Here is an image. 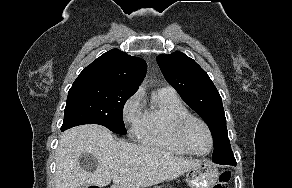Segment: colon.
Here are the masks:
<instances>
[{
  "instance_id": "obj_1",
  "label": "colon",
  "mask_w": 292,
  "mask_h": 188,
  "mask_svg": "<svg viewBox=\"0 0 292 188\" xmlns=\"http://www.w3.org/2000/svg\"><path fill=\"white\" fill-rule=\"evenodd\" d=\"M230 178H231V173L229 171L223 172L220 175L219 180L217 181V183L214 185L213 188H229L228 185H229ZM88 188H98V187L91 186Z\"/></svg>"
}]
</instances>
